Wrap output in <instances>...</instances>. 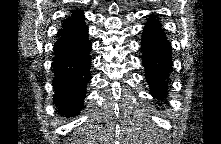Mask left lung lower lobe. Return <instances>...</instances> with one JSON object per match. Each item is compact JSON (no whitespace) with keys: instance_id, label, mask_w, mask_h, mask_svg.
Segmentation results:
<instances>
[{"instance_id":"obj_1","label":"left lung lower lobe","mask_w":221,"mask_h":144,"mask_svg":"<svg viewBox=\"0 0 221 144\" xmlns=\"http://www.w3.org/2000/svg\"><path fill=\"white\" fill-rule=\"evenodd\" d=\"M141 47L145 77L151 93L157 99L163 100L167 93L168 78L173 62L171 45L161 30L160 22L154 17L149 18L143 30Z\"/></svg>"}]
</instances>
